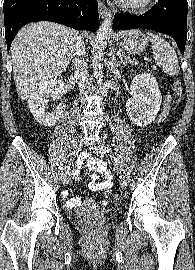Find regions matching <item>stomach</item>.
Here are the masks:
<instances>
[{
    "mask_svg": "<svg viewBox=\"0 0 195 270\" xmlns=\"http://www.w3.org/2000/svg\"><path fill=\"white\" fill-rule=\"evenodd\" d=\"M120 46L129 53L142 52L148 43L147 37L140 30L121 31L117 34Z\"/></svg>",
    "mask_w": 195,
    "mask_h": 270,
    "instance_id": "stomach-1",
    "label": "stomach"
}]
</instances>
